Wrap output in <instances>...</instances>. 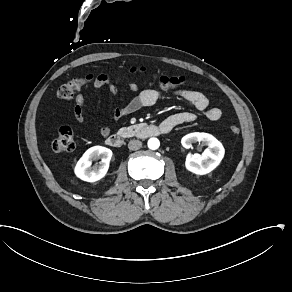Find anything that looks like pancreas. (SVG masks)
I'll return each mask as SVG.
<instances>
[{"label": "pancreas", "mask_w": 292, "mask_h": 292, "mask_svg": "<svg viewBox=\"0 0 292 292\" xmlns=\"http://www.w3.org/2000/svg\"><path fill=\"white\" fill-rule=\"evenodd\" d=\"M140 129L139 125H132L130 127H123L119 129L118 134L122 137L134 136L135 132Z\"/></svg>", "instance_id": "cf45deb5"}]
</instances>
